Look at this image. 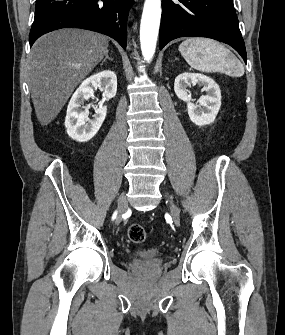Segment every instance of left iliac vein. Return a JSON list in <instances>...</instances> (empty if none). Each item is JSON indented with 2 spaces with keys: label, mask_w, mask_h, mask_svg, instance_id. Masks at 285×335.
<instances>
[{
  "label": "left iliac vein",
  "mask_w": 285,
  "mask_h": 335,
  "mask_svg": "<svg viewBox=\"0 0 285 335\" xmlns=\"http://www.w3.org/2000/svg\"><path fill=\"white\" fill-rule=\"evenodd\" d=\"M169 202H170V208H171L172 217L175 220H178L179 219V211H178L177 207L174 205V203L170 199H169Z\"/></svg>",
  "instance_id": "left-iliac-vein-1"
}]
</instances>
